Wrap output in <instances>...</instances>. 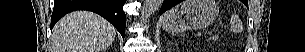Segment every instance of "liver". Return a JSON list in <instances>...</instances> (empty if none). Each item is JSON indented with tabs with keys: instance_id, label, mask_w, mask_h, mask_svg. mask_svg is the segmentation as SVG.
I'll return each mask as SVG.
<instances>
[{
	"instance_id": "1",
	"label": "liver",
	"mask_w": 305,
	"mask_h": 52,
	"mask_svg": "<svg viewBox=\"0 0 305 52\" xmlns=\"http://www.w3.org/2000/svg\"><path fill=\"white\" fill-rule=\"evenodd\" d=\"M115 37L116 29L101 16L75 11L53 28L51 52H102Z\"/></svg>"
}]
</instances>
